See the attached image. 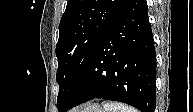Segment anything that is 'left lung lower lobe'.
Listing matches in <instances>:
<instances>
[{"label": "left lung lower lobe", "mask_w": 193, "mask_h": 112, "mask_svg": "<svg viewBox=\"0 0 193 112\" xmlns=\"http://www.w3.org/2000/svg\"><path fill=\"white\" fill-rule=\"evenodd\" d=\"M146 0H132L96 46L61 112L101 98L155 111L156 53Z\"/></svg>", "instance_id": "1"}]
</instances>
